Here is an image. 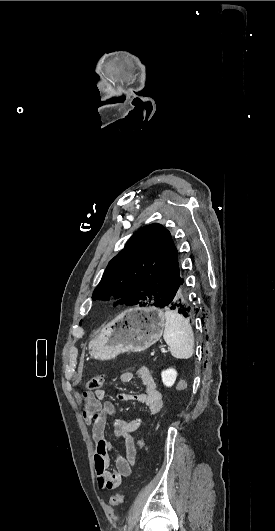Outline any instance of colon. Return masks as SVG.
Instances as JSON below:
<instances>
[{"mask_svg":"<svg viewBox=\"0 0 275 531\" xmlns=\"http://www.w3.org/2000/svg\"><path fill=\"white\" fill-rule=\"evenodd\" d=\"M103 383H104V375L103 374H99V375L91 377L88 380L86 388H87V390L89 392L99 391L102 388ZM150 432H151L150 424H147V426L143 427V429L140 431V436L142 438H140L137 441L138 449H140V450L143 449V447H144L143 438H147L149 436ZM125 498H126V495L124 493H117V494L111 496L109 502H110V504L113 507H117V506H119V505H121L123 503Z\"/></svg>","mask_w":275,"mask_h":531,"instance_id":"1","label":"colon"}]
</instances>
